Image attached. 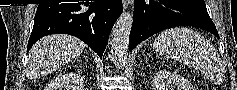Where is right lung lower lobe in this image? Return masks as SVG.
Instances as JSON below:
<instances>
[{"label":"right lung lower lobe","instance_id":"98d812e1","mask_svg":"<svg viewBox=\"0 0 237 90\" xmlns=\"http://www.w3.org/2000/svg\"><path fill=\"white\" fill-rule=\"evenodd\" d=\"M121 13V0L39 4L27 52L43 36L64 33L78 37L102 58Z\"/></svg>","mask_w":237,"mask_h":90}]
</instances>
